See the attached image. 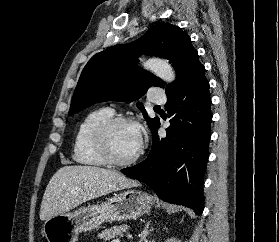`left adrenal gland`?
Returning <instances> with one entry per match:
<instances>
[{
    "label": "left adrenal gland",
    "instance_id": "obj_1",
    "mask_svg": "<svg viewBox=\"0 0 279 242\" xmlns=\"http://www.w3.org/2000/svg\"><path fill=\"white\" fill-rule=\"evenodd\" d=\"M149 224H150V221H148V222L145 224L144 229L142 230V232H141L140 235H139V236H140V241H139V242H142V241L147 237V235L149 234V232L153 230V228L149 230Z\"/></svg>",
    "mask_w": 279,
    "mask_h": 242
}]
</instances>
